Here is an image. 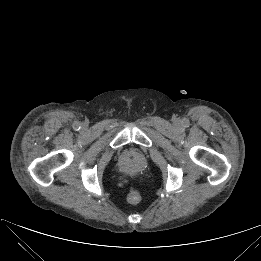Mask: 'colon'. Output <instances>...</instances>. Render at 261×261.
Here are the masks:
<instances>
[{
	"instance_id": "1",
	"label": "colon",
	"mask_w": 261,
	"mask_h": 261,
	"mask_svg": "<svg viewBox=\"0 0 261 261\" xmlns=\"http://www.w3.org/2000/svg\"><path fill=\"white\" fill-rule=\"evenodd\" d=\"M140 199L141 195L136 188L131 189L127 195V202L129 204H137L140 201Z\"/></svg>"
}]
</instances>
